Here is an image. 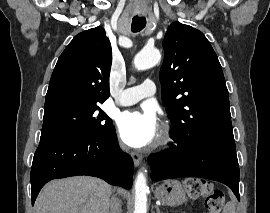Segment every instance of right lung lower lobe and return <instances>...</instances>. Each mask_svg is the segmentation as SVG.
Here are the masks:
<instances>
[{
    "label": "right lung lower lobe",
    "instance_id": "1",
    "mask_svg": "<svg viewBox=\"0 0 270 213\" xmlns=\"http://www.w3.org/2000/svg\"><path fill=\"white\" fill-rule=\"evenodd\" d=\"M77 175L131 188L133 161L120 151L114 126L97 137L41 136L31 168L32 205L48 181Z\"/></svg>",
    "mask_w": 270,
    "mask_h": 213
}]
</instances>
